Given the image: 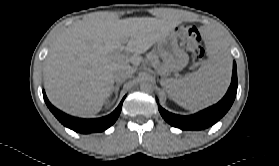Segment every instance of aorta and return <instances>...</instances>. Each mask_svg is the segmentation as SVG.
I'll list each match as a JSON object with an SVG mask.
<instances>
[{"label": "aorta", "instance_id": "aorta-1", "mask_svg": "<svg viewBox=\"0 0 279 166\" xmlns=\"http://www.w3.org/2000/svg\"><path fill=\"white\" fill-rule=\"evenodd\" d=\"M140 88L142 91L145 92H152L153 91V82L151 81V79H149L148 77L142 79L141 83H140Z\"/></svg>", "mask_w": 279, "mask_h": 166}]
</instances>
